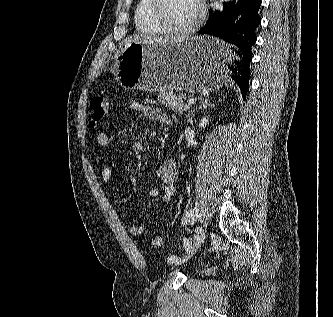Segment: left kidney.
I'll list each match as a JSON object with an SVG mask.
<instances>
[{
  "label": "left kidney",
  "mask_w": 333,
  "mask_h": 317,
  "mask_svg": "<svg viewBox=\"0 0 333 317\" xmlns=\"http://www.w3.org/2000/svg\"><path fill=\"white\" fill-rule=\"evenodd\" d=\"M209 124V117H204L199 123V128H205Z\"/></svg>",
  "instance_id": "left-kidney-1"
}]
</instances>
